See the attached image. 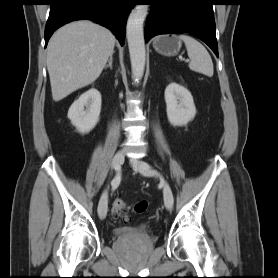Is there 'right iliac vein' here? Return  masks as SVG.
Instances as JSON below:
<instances>
[{
  "label": "right iliac vein",
  "mask_w": 278,
  "mask_h": 278,
  "mask_svg": "<svg viewBox=\"0 0 278 278\" xmlns=\"http://www.w3.org/2000/svg\"><path fill=\"white\" fill-rule=\"evenodd\" d=\"M124 163V154L122 152H118L114 155L112 159V167H121ZM107 208H108V192L105 190L101 195L98 204V214L101 219H104L107 215Z\"/></svg>",
  "instance_id": "63e3f726"
}]
</instances>
